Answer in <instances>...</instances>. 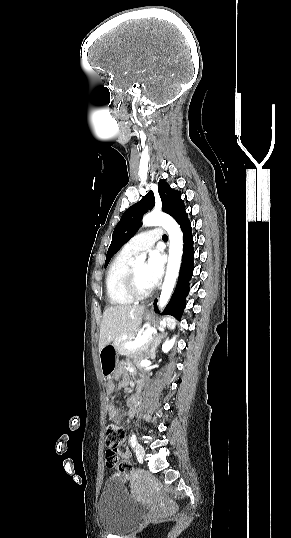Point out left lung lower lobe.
<instances>
[{"mask_svg":"<svg viewBox=\"0 0 291 538\" xmlns=\"http://www.w3.org/2000/svg\"><path fill=\"white\" fill-rule=\"evenodd\" d=\"M177 223L180 225L183 232V255L180 274L176 289L172 295V298L164 310V314H169L181 319L186 306V297L189 293V281L191 280L194 270V249H193V236L191 223L188 219L187 213L183 214ZM157 299L154 301V309L159 313L157 308Z\"/></svg>","mask_w":291,"mask_h":538,"instance_id":"1","label":"left lung lower lobe"}]
</instances>
